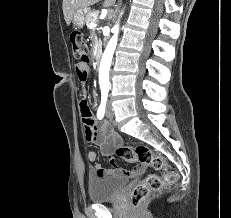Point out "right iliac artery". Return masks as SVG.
Masks as SVG:
<instances>
[{"label":"right iliac artery","mask_w":231,"mask_h":218,"mask_svg":"<svg viewBox=\"0 0 231 218\" xmlns=\"http://www.w3.org/2000/svg\"><path fill=\"white\" fill-rule=\"evenodd\" d=\"M106 101H107V94L103 93L101 99V105L99 106L97 111L98 119H102L104 117Z\"/></svg>","instance_id":"obj_1"}]
</instances>
